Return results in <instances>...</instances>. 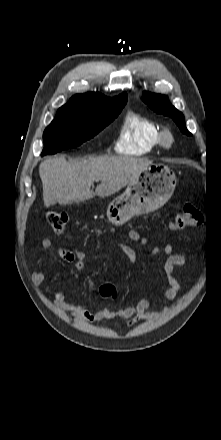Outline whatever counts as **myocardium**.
Segmentation results:
<instances>
[{"instance_id": "f54148a6", "label": "myocardium", "mask_w": 221, "mask_h": 440, "mask_svg": "<svg viewBox=\"0 0 221 440\" xmlns=\"http://www.w3.org/2000/svg\"><path fill=\"white\" fill-rule=\"evenodd\" d=\"M160 139H161V145L165 148H170L175 142L174 135L169 130H163L161 132Z\"/></svg>"}]
</instances>
